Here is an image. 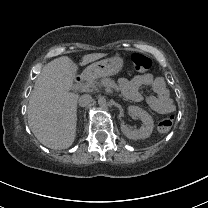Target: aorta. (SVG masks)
I'll use <instances>...</instances> for the list:
<instances>
[{"label": "aorta", "mask_w": 208, "mask_h": 208, "mask_svg": "<svg viewBox=\"0 0 208 208\" xmlns=\"http://www.w3.org/2000/svg\"><path fill=\"white\" fill-rule=\"evenodd\" d=\"M98 104L101 106V107H104L106 105V101H105V97L104 96H101L99 99H98Z\"/></svg>", "instance_id": "1"}]
</instances>
